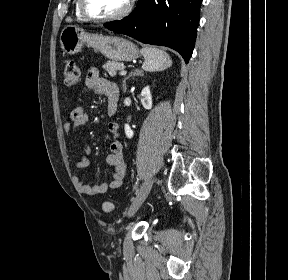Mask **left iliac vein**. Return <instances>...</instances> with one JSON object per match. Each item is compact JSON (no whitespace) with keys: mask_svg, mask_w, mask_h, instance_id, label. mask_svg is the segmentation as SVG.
Masks as SVG:
<instances>
[{"mask_svg":"<svg viewBox=\"0 0 288 280\" xmlns=\"http://www.w3.org/2000/svg\"><path fill=\"white\" fill-rule=\"evenodd\" d=\"M151 188H152V181L146 180L142 185L140 196L135 197V200L132 202L128 210V217H131L136 213V211L139 209V207L147 198Z\"/></svg>","mask_w":288,"mask_h":280,"instance_id":"4c4485c4","label":"left iliac vein"}]
</instances>
